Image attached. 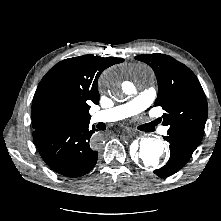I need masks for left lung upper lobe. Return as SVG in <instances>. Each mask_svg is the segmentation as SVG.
I'll list each match as a JSON object with an SVG mask.
<instances>
[{
	"mask_svg": "<svg viewBox=\"0 0 221 221\" xmlns=\"http://www.w3.org/2000/svg\"><path fill=\"white\" fill-rule=\"evenodd\" d=\"M135 59L147 63L155 72L158 96L154 103L161 106L163 125L169 133L202 140L208 115L205 93L195 74L184 64L164 54H145Z\"/></svg>",
	"mask_w": 221,
	"mask_h": 221,
	"instance_id": "obj_1",
	"label": "left lung upper lobe"
}]
</instances>
